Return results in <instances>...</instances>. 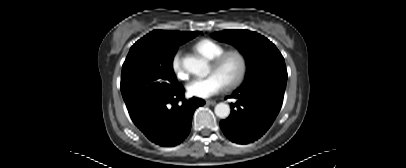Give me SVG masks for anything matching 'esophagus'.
<instances>
[{
  "mask_svg": "<svg viewBox=\"0 0 406 168\" xmlns=\"http://www.w3.org/2000/svg\"><path fill=\"white\" fill-rule=\"evenodd\" d=\"M206 104L207 105H215L216 101H214V100H206Z\"/></svg>",
  "mask_w": 406,
  "mask_h": 168,
  "instance_id": "obj_1",
  "label": "esophagus"
}]
</instances>
